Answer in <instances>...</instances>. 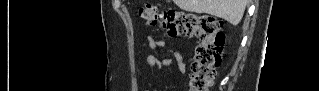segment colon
<instances>
[{
	"instance_id": "colon-1",
	"label": "colon",
	"mask_w": 319,
	"mask_h": 91,
	"mask_svg": "<svg viewBox=\"0 0 319 91\" xmlns=\"http://www.w3.org/2000/svg\"><path fill=\"white\" fill-rule=\"evenodd\" d=\"M146 24L162 28L169 36H198L191 73L186 86L189 91H209L221 62L225 33L218 19L207 15L162 9L156 3H147L139 10Z\"/></svg>"
}]
</instances>
